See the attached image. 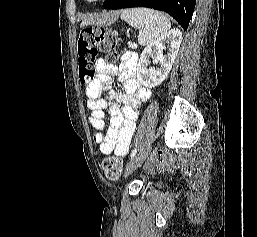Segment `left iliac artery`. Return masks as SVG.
<instances>
[{"label":"left iliac artery","mask_w":257,"mask_h":237,"mask_svg":"<svg viewBox=\"0 0 257 237\" xmlns=\"http://www.w3.org/2000/svg\"><path fill=\"white\" fill-rule=\"evenodd\" d=\"M137 153V148H135L132 152H131V155L130 157L133 158Z\"/></svg>","instance_id":"44dca946"}]
</instances>
